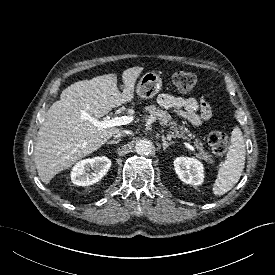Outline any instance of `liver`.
I'll list each match as a JSON object with an SVG mask.
<instances>
[{
  "instance_id": "1",
  "label": "liver",
  "mask_w": 275,
  "mask_h": 275,
  "mask_svg": "<svg viewBox=\"0 0 275 275\" xmlns=\"http://www.w3.org/2000/svg\"><path fill=\"white\" fill-rule=\"evenodd\" d=\"M142 70L132 67L123 72V92L118 90L117 75L113 73L78 81L62 91L37 133L34 161L43 183L48 184L56 174L96 151L121 130L99 129L81 115L101 119L113 108L131 102Z\"/></svg>"
}]
</instances>
